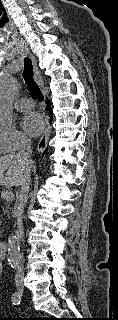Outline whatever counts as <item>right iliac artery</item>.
Instances as JSON below:
<instances>
[{
    "instance_id": "82829eb1",
    "label": "right iliac artery",
    "mask_w": 118,
    "mask_h": 320,
    "mask_svg": "<svg viewBox=\"0 0 118 320\" xmlns=\"http://www.w3.org/2000/svg\"><path fill=\"white\" fill-rule=\"evenodd\" d=\"M11 299L14 305H18L21 301V294L19 292H15L13 293Z\"/></svg>"
}]
</instances>
